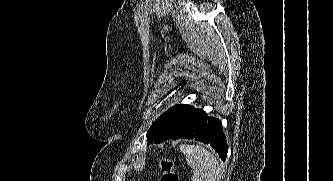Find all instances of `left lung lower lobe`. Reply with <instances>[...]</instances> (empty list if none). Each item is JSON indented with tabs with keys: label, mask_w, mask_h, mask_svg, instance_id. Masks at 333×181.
Instances as JSON below:
<instances>
[{
	"label": "left lung lower lobe",
	"mask_w": 333,
	"mask_h": 181,
	"mask_svg": "<svg viewBox=\"0 0 333 181\" xmlns=\"http://www.w3.org/2000/svg\"><path fill=\"white\" fill-rule=\"evenodd\" d=\"M195 139L205 144H210L219 154L220 158L225 161L227 156V142L225 134L222 131V123L219 119L209 117L204 111H200L179 134L174 136L173 140ZM161 143L163 139L155 138L151 143Z\"/></svg>",
	"instance_id": "1"
}]
</instances>
